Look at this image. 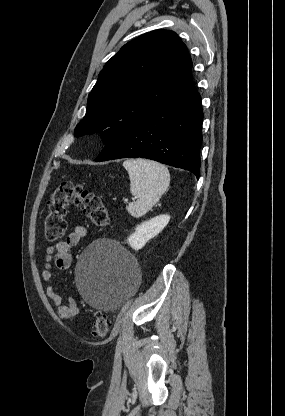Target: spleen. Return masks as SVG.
<instances>
[{
	"instance_id": "1",
	"label": "spleen",
	"mask_w": 285,
	"mask_h": 416,
	"mask_svg": "<svg viewBox=\"0 0 285 416\" xmlns=\"http://www.w3.org/2000/svg\"><path fill=\"white\" fill-rule=\"evenodd\" d=\"M123 166L129 174L130 192L137 198L136 202H130L126 210L133 218H141L165 194L170 184V174L166 166L142 158H127Z\"/></svg>"
}]
</instances>
